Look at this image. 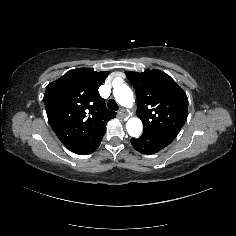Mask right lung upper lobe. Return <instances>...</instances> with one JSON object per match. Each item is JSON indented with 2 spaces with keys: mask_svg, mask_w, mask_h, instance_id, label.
<instances>
[{
  "mask_svg": "<svg viewBox=\"0 0 236 236\" xmlns=\"http://www.w3.org/2000/svg\"><path fill=\"white\" fill-rule=\"evenodd\" d=\"M109 72L78 68L46 87L44 104L48 120L68 148L95 137L106 129L116 112L108 110L97 90Z\"/></svg>",
  "mask_w": 236,
  "mask_h": 236,
  "instance_id": "right-lung-upper-lobe-1",
  "label": "right lung upper lobe"
}]
</instances>
